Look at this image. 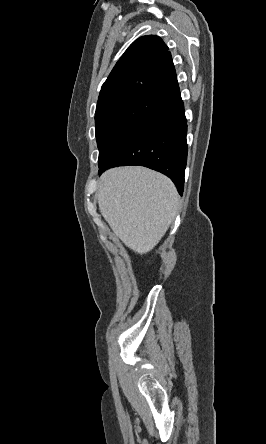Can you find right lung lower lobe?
Instances as JSON below:
<instances>
[{
    "label": "right lung lower lobe",
    "instance_id": "right-lung-lower-lobe-1",
    "mask_svg": "<svg viewBox=\"0 0 266 444\" xmlns=\"http://www.w3.org/2000/svg\"><path fill=\"white\" fill-rule=\"evenodd\" d=\"M187 120L181 97L166 103L99 164V174L116 166L139 165L168 176L183 193L187 162Z\"/></svg>",
    "mask_w": 266,
    "mask_h": 444
}]
</instances>
